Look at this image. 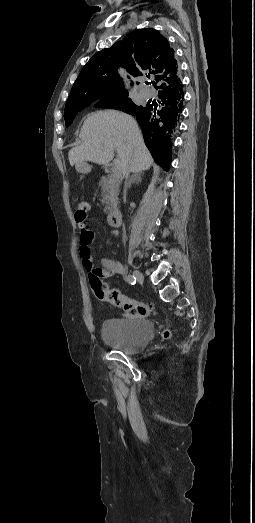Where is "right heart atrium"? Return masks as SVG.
I'll use <instances>...</instances> for the list:
<instances>
[{
	"mask_svg": "<svg viewBox=\"0 0 255 523\" xmlns=\"http://www.w3.org/2000/svg\"><path fill=\"white\" fill-rule=\"evenodd\" d=\"M106 110L109 111L110 113L114 114V115H120L121 114V109L114 105V104H110L106 107Z\"/></svg>",
	"mask_w": 255,
	"mask_h": 523,
	"instance_id": "right-heart-atrium-1",
	"label": "right heart atrium"
}]
</instances>
